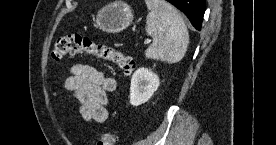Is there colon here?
<instances>
[{"label":"colon","instance_id":"colon-1","mask_svg":"<svg viewBox=\"0 0 276 145\" xmlns=\"http://www.w3.org/2000/svg\"><path fill=\"white\" fill-rule=\"evenodd\" d=\"M77 54H87L99 60L110 62L125 75L131 74L135 69V63L131 57L126 56L120 50L96 43L88 36L74 33L58 37L52 51L54 60ZM115 142L116 137L112 133L106 132L101 134L97 145H115Z\"/></svg>","mask_w":276,"mask_h":145}]
</instances>
